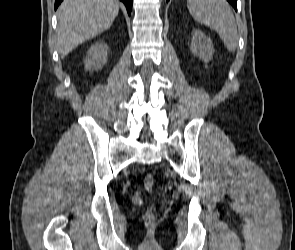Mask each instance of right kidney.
<instances>
[{
	"mask_svg": "<svg viewBox=\"0 0 295 250\" xmlns=\"http://www.w3.org/2000/svg\"><path fill=\"white\" fill-rule=\"evenodd\" d=\"M108 46L104 42L93 44L87 51L84 65L86 70H99L107 63Z\"/></svg>",
	"mask_w": 295,
	"mask_h": 250,
	"instance_id": "right-kidney-1",
	"label": "right kidney"
}]
</instances>
